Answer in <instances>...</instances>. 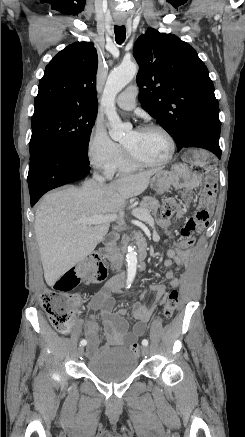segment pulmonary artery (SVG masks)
<instances>
[{"label": "pulmonary artery", "instance_id": "1", "mask_svg": "<svg viewBox=\"0 0 245 437\" xmlns=\"http://www.w3.org/2000/svg\"><path fill=\"white\" fill-rule=\"evenodd\" d=\"M136 94V86H130L118 95L116 104L124 110H131L136 105Z\"/></svg>", "mask_w": 245, "mask_h": 437}]
</instances>
